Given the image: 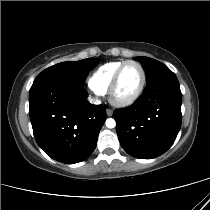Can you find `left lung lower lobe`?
Returning <instances> with one entry per match:
<instances>
[{
	"label": "left lung lower lobe",
	"mask_w": 210,
	"mask_h": 210,
	"mask_svg": "<svg viewBox=\"0 0 210 210\" xmlns=\"http://www.w3.org/2000/svg\"><path fill=\"white\" fill-rule=\"evenodd\" d=\"M181 104L182 94L173 72L147 83L130 107L114 111L123 149L139 159L155 158L166 152L181 127Z\"/></svg>",
	"instance_id": "1"
}]
</instances>
